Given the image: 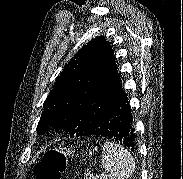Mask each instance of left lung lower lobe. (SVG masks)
<instances>
[{
    "label": "left lung lower lobe",
    "instance_id": "1",
    "mask_svg": "<svg viewBox=\"0 0 183 179\" xmlns=\"http://www.w3.org/2000/svg\"><path fill=\"white\" fill-rule=\"evenodd\" d=\"M90 135L116 140L131 148V150L136 148V135L133 129L131 108L122 87H120L114 106L107 113L102 124Z\"/></svg>",
    "mask_w": 183,
    "mask_h": 179
}]
</instances>
